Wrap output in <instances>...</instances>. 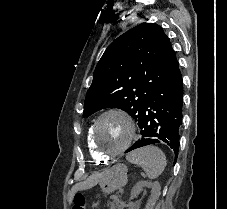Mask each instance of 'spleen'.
<instances>
[{"mask_svg": "<svg viewBox=\"0 0 227 209\" xmlns=\"http://www.w3.org/2000/svg\"><path fill=\"white\" fill-rule=\"evenodd\" d=\"M126 159L132 165L142 167L148 179H157L167 165L163 151L158 147H151V145L150 147H141V149L131 151Z\"/></svg>", "mask_w": 227, "mask_h": 209, "instance_id": "spleen-1", "label": "spleen"}]
</instances>
